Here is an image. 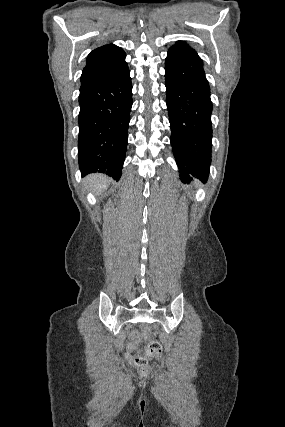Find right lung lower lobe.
Segmentation results:
<instances>
[{"mask_svg": "<svg viewBox=\"0 0 285 427\" xmlns=\"http://www.w3.org/2000/svg\"><path fill=\"white\" fill-rule=\"evenodd\" d=\"M78 159L82 175L101 172L119 180L132 107L129 70L80 88Z\"/></svg>", "mask_w": 285, "mask_h": 427, "instance_id": "1", "label": "right lung lower lobe"}]
</instances>
